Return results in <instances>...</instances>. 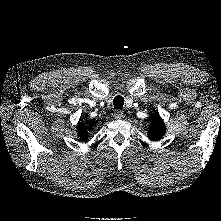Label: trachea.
<instances>
[{
  "mask_svg": "<svg viewBox=\"0 0 221 221\" xmlns=\"http://www.w3.org/2000/svg\"><path fill=\"white\" fill-rule=\"evenodd\" d=\"M113 105L115 109H122L124 105V98L120 95L116 96L113 100Z\"/></svg>",
  "mask_w": 221,
  "mask_h": 221,
  "instance_id": "1",
  "label": "trachea"
}]
</instances>
